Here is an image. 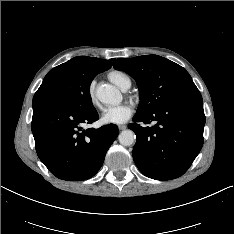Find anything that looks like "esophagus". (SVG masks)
<instances>
[{"mask_svg":"<svg viewBox=\"0 0 234 234\" xmlns=\"http://www.w3.org/2000/svg\"><path fill=\"white\" fill-rule=\"evenodd\" d=\"M118 128H119V130H125L127 128V126L126 125H119Z\"/></svg>","mask_w":234,"mask_h":234,"instance_id":"1","label":"esophagus"}]
</instances>
